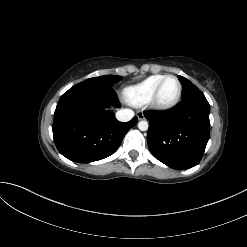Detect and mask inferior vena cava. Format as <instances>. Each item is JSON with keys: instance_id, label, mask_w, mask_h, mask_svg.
Returning a JSON list of instances; mask_svg holds the SVG:
<instances>
[{"instance_id": "inferior-vena-cava-1", "label": "inferior vena cava", "mask_w": 247, "mask_h": 247, "mask_svg": "<svg viewBox=\"0 0 247 247\" xmlns=\"http://www.w3.org/2000/svg\"><path fill=\"white\" fill-rule=\"evenodd\" d=\"M133 116L134 112L130 109H121L116 113V118L122 122H127L131 120Z\"/></svg>"}]
</instances>
